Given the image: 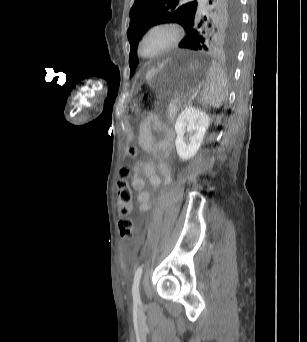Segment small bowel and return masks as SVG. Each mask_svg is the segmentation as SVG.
Returning <instances> with one entry per match:
<instances>
[{
    "label": "small bowel",
    "instance_id": "small-bowel-1",
    "mask_svg": "<svg viewBox=\"0 0 307 342\" xmlns=\"http://www.w3.org/2000/svg\"><path fill=\"white\" fill-rule=\"evenodd\" d=\"M154 132L162 133V138L155 140ZM174 138V131L155 114H147L139 125V145L152 157V160H139L134 165L131 176V186L137 192L136 198L140 212H147L154 205L151 193L144 189V177L148 178L153 191H156L162 183L161 178L156 174L154 161H158V168L164 183L168 184L171 181V173L165 160L173 148Z\"/></svg>",
    "mask_w": 307,
    "mask_h": 342
}]
</instances>
